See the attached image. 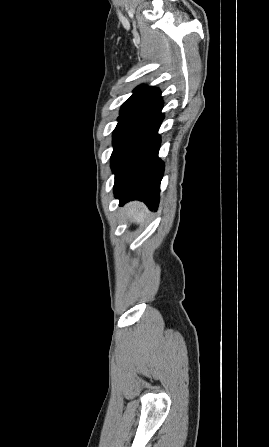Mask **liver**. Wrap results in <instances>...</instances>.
Listing matches in <instances>:
<instances>
[{"mask_svg": "<svg viewBox=\"0 0 269 447\" xmlns=\"http://www.w3.org/2000/svg\"><path fill=\"white\" fill-rule=\"evenodd\" d=\"M126 214L129 218H132L133 222H136V224H143L147 212H145L144 206H141L138 202H133V204H128Z\"/></svg>", "mask_w": 269, "mask_h": 447, "instance_id": "obj_1", "label": "liver"}]
</instances>
